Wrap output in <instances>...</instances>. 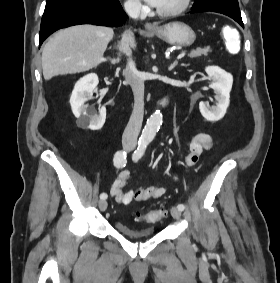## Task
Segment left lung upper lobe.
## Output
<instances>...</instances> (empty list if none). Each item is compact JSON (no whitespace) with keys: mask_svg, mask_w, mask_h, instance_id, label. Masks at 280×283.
Returning a JSON list of instances; mask_svg holds the SVG:
<instances>
[{"mask_svg":"<svg viewBox=\"0 0 280 283\" xmlns=\"http://www.w3.org/2000/svg\"><path fill=\"white\" fill-rule=\"evenodd\" d=\"M194 10H210L229 17L241 18L238 0H194Z\"/></svg>","mask_w":280,"mask_h":283,"instance_id":"left-lung-upper-lobe-1","label":"left lung upper lobe"}]
</instances>
